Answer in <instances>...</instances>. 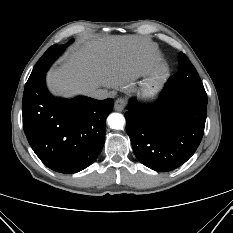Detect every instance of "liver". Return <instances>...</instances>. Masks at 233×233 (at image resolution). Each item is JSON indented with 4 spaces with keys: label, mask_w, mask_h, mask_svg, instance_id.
Returning a JSON list of instances; mask_svg holds the SVG:
<instances>
[{
    "label": "liver",
    "mask_w": 233,
    "mask_h": 233,
    "mask_svg": "<svg viewBox=\"0 0 233 233\" xmlns=\"http://www.w3.org/2000/svg\"><path fill=\"white\" fill-rule=\"evenodd\" d=\"M157 46L137 35L93 37L70 49L62 65L47 73L57 96L91 95L97 88L128 89L157 61Z\"/></svg>",
    "instance_id": "6515ba94"
}]
</instances>
